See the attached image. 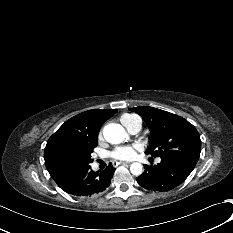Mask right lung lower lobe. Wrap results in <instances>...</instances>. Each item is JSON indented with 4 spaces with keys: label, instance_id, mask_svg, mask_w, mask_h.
Instances as JSON below:
<instances>
[{
    "label": "right lung lower lobe",
    "instance_id": "right-lung-lower-lobe-1",
    "mask_svg": "<svg viewBox=\"0 0 233 233\" xmlns=\"http://www.w3.org/2000/svg\"><path fill=\"white\" fill-rule=\"evenodd\" d=\"M115 168L110 164L103 171H93L91 166L72 174L59 187L65 192L79 197H89L103 192L109 187Z\"/></svg>",
    "mask_w": 233,
    "mask_h": 233
}]
</instances>
